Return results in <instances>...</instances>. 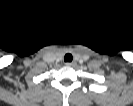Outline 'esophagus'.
I'll list each match as a JSON object with an SVG mask.
<instances>
[{
    "instance_id": "esophagus-1",
    "label": "esophagus",
    "mask_w": 133,
    "mask_h": 106,
    "mask_svg": "<svg viewBox=\"0 0 133 106\" xmlns=\"http://www.w3.org/2000/svg\"><path fill=\"white\" fill-rule=\"evenodd\" d=\"M66 65L69 66V67H71V66H74L75 65V62H67Z\"/></svg>"
}]
</instances>
